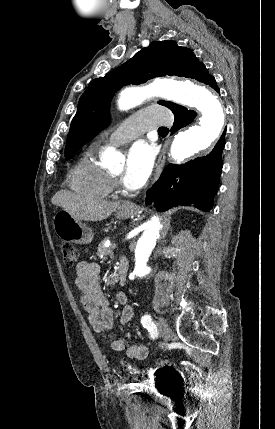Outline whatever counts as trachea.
I'll return each instance as SVG.
<instances>
[{
    "instance_id": "1",
    "label": "trachea",
    "mask_w": 275,
    "mask_h": 429,
    "mask_svg": "<svg viewBox=\"0 0 275 429\" xmlns=\"http://www.w3.org/2000/svg\"><path fill=\"white\" fill-rule=\"evenodd\" d=\"M158 131H168V129L166 128V127H160L159 129H158Z\"/></svg>"
}]
</instances>
